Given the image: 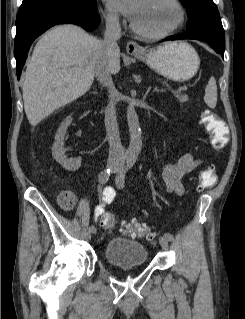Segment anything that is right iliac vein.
Masks as SVG:
<instances>
[{"label": "right iliac vein", "instance_id": "obj_1", "mask_svg": "<svg viewBox=\"0 0 245 319\" xmlns=\"http://www.w3.org/2000/svg\"><path fill=\"white\" fill-rule=\"evenodd\" d=\"M108 168H112L113 171H115L117 169V165L113 162H109L108 165H107ZM91 236H92V232L88 229L87 232H86V238L87 239H91Z\"/></svg>", "mask_w": 245, "mask_h": 319}]
</instances>
